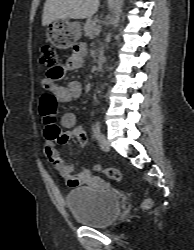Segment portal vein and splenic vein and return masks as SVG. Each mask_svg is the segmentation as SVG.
Instances as JSON below:
<instances>
[{
    "instance_id": "obj_1",
    "label": "portal vein and splenic vein",
    "mask_w": 194,
    "mask_h": 250,
    "mask_svg": "<svg viewBox=\"0 0 194 250\" xmlns=\"http://www.w3.org/2000/svg\"><path fill=\"white\" fill-rule=\"evenodd\" d=\"M95 33L98 34L99 33V29H97Z\"/></svg>"
}]
</instances>
